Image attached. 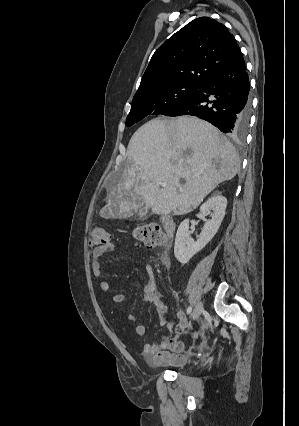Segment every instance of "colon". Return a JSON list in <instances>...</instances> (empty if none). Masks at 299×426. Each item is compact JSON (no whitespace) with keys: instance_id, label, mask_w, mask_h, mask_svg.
I'll use <instances>...</instances> for the list:
<instances>
[{"instance_id":"colon-1","label":"colon","mask_w":299,"mask_h":426,"mask_svg":"<svg viewBox=\"0 0 299 426\" xmlns=\"http://www.w3.org/2000/svg\"><path fill=\"white\" fill-rule=\"evenodd\" d=\"M136 239L144 245L153 248L165 243L166 237L158 224L150 223L139 227L134 232ZM109 243V235L102 226H94L89 234V246L93 249L105 246Z\"/></svg>"}]
</instances>
